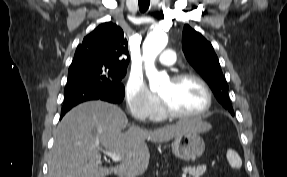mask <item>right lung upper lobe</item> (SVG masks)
<instances>
[{"instance_id":"right-lung-upper-lobe-1","label":"right lung upper lobe","mask_w":287,"mask_h":177,"mask_svg":"<svg viewBox=\"0 0 287 177\" xmlns=\"http://www.w3.org/2000/svg\"><path fill=\"white\" fill-rule=\"evenodd\" d=\"M123 30L112 22H106L84 37L78 45L72 64L105 63L126 70L130 57Z\"/></svg>"}]
</instances>
